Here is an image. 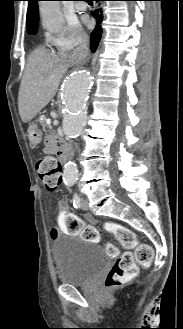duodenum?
Listing matches in <instances>:
<instances>
[{
  "instance_id": "obj_1",
  "label": "duodenum",
  "mask_w": 183,
  "mask_h": 329,
  "mask_svg": "<svg viewBox=\"0 0 183 329\" xmlns=\"http://www.w3.org/2000/svg\"><path fill=\"white\" fill-rule=\"evenodd\" d=\"M68 151H69L68 143L65 141L60 142L58 149H57V153L59 155L61 164H64L66 162V157H67Z\"/></svg>"
}]
</instances>
